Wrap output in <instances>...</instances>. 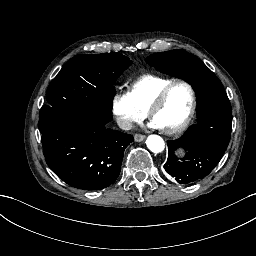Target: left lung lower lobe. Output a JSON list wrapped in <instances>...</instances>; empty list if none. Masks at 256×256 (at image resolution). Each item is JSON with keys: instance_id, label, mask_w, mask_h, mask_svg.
Returning a JSON list of instances; mask_svg holds the SVG:
<instances>
[{"instance_id": "obj_1", "label": "left lung lower lobe", "mask_w": 256, "mask_h": 256, "mask_svg": "<svg viewBox=\"0 0 256 256\" xmlns=\"http://www.w3.org/2000/svg\"><path fill=\"white\" fill-rule=\"evenodd\" d=\"M169 174L172 177H174L177 180V182L180 184H189L205 177V176L178 175L173 173H169Z\"/></svg>"}]
</instances>
